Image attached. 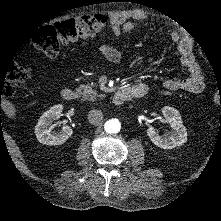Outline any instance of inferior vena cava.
<instances>
[{"mask_svg": "<svg viewBox=\"0 0 221 221\" xmlns=\"http://www.w3.org/2000/svg\"><path fill=\"white\" fill-rule=\"evenodd\" d=\"M103 113L101 110L93 109L88 113V121L90 124L98 126L102 123Z\"/></svg>", "mask_w": 221, "mask_h": 221, "instance_id": "602c4592", "label": "inferior vena cava"}]
</instances>
